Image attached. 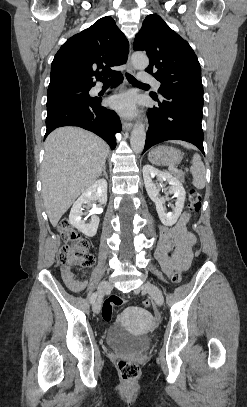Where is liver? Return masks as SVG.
Masks as SVG:
<instances>
[{"instance_id": "1", "label": "liver", "mask_w": 247, "mask_h": 407, "mask_svg": "<svg viewBox=\"0 0 247 407\" xmlns=\"http://www.w3.org/2000/svg\"><path fill=\"white\" fill-rule=\"evenodd\" d=\"M44 148L42 197L50 223L55 227L77 197L101 175L109 147L89 131L61 127L49 134Z\"/></svg>"}]
</instances>
